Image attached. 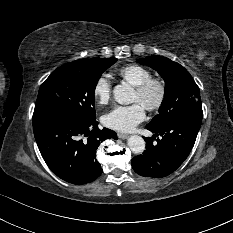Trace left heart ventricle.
<instances>
[{
    "mask_svg": "<svg viewBox=\"0 0 233 233\" xmlns=\"http://www.w3.org/2000/svg\"><path fill=\"white\" fill-rule=\"evenodd\" d=\"M157 97V90L152 89L145 97H140L136 92L134 93L133 101L139 102L143 107L155 101Z\"/></svg>",
    "mask_w": 233,
    "mask_h": 233,
    "instance_id": "left-heart-ventricle-1",
    "label": "left heart ventricle"
}]
</instances>
